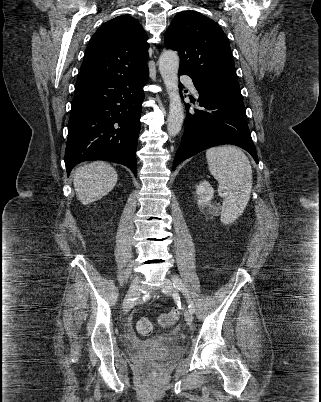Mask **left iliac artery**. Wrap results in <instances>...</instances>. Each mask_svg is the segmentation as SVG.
<instances>
[{
    "label": "left iliac artery",
    "mask_w": 321,
    "mask_h": 402,
    "mask_svg": "<svg viewBox=\"0 0 321 402\" xmlns=\"http://www.w3.org/2000/svg\"><path fill=\"white\" fill-rule=\"evenodd\" d=\"M172 281H173L174 288L179 290L187 298V301L189 304L188 308L193 313L195 311V306H194L193 301L191 300V297L189 295L187 288L185 287V285L183 284L181 279L176 276L172 277Z\"/></svg>",
    "instance_id": "obj_1"
}]
</instances>
